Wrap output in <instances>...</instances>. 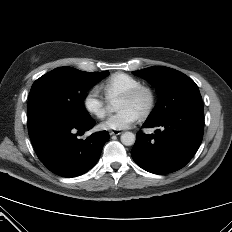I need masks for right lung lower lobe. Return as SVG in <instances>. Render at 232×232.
I'll use <instances>...</instances> for the list:
<instances>
[{
    "mask_svg": "<svg viewBox=\"0 0 232 232\" xmlns=\"http://www.w3.org/2000/svg\"><path fill=\"white\" fill-rule=\"evenodd\" d=\"M94 125L91 118L73 120L38 115L29 118L28 132L37 156L51 172L62 177H75L97 163L103 145L109 139L107 131L96 132L85 140L77 138V130L88 131Z\"/></svg>",
    "mask_w": 232,
    "mask_h": 232,
    "instance_id": "right-lung-lower-lobe-1",
    "label": "right lung lower lobe"
}]
</instances>
